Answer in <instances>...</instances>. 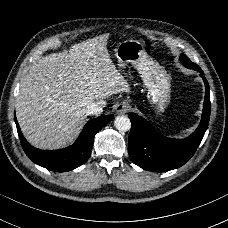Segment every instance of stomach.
<instances>
[{"instance_id":"0dacf381","label":"stomach","mask_w":228,"mask_h":228,"mask_svg":"<svg viewBox=\"0 0 228 228\" xmlns=\"http://www.w3.org/2000/svg\"><path fill=\"white\" fill-rule=\"evenodd\" d=\"M119 70L131 64L140 74L152 98L153 105L157 104L162 111L167 103L170 90L168 74L155 66L144 45L138 41L127 40L121 42L116 50Z\"/></svg>"}]
</instances>
